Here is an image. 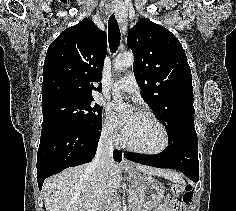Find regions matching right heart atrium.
<instances>
[{"instance_id":"right-heart-atrium-1","label":"right heart atrium","mask_w":236,"mask_h":211,"mask_svg":"<svg viewBox=\"0 0 236 211\" xmlns=\"http://www.w3.org/2000/svg\"><path fill=\"white\" fill-rule=\"evenodd\" d=\"M101 135L107 143L112 145H116L121 141V133L108 113L105 114L102 122Z\"/></svg>"}]
</instances>
